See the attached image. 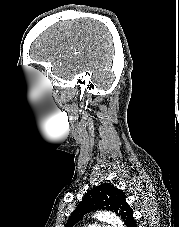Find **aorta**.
Segmentation results:
<instances>
[{"mask_svg": "<svg viewBox=\"0 0 179 227\" xmlns=\"http://www.w3.org/2000/svg\"><path fill=\"white\" fill-rule=\"evenodd\" d=\"M94 218L112 224L114 227H124L122 220L111 212H97L96 214H94Z\"/></svg>", "mask_w": 179, "mask_h": 227, "instance_id": "1", "label": "aorta"}]
</instances>
